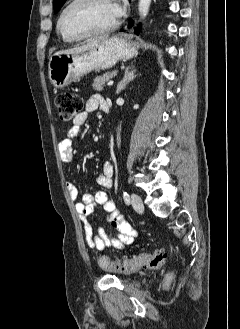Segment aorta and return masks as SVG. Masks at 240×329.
Wrapping results in <instances>:
<instances>
[{"instance_id":"762f6f07","label":"aorta","mask_w":240,"mask_h":329,"mask_svg":"<svg viewBox=\"0 0 240 329\" xmlns=\"http://www.w3.org/2000/svg\"><path fill=\"white\" fill-rule=\"evenodd\" d=\"M150 4H151V0H139L138 10H139V15L142 18H145L147 16L149 12Z\"/></svg>"}]
</instances>
